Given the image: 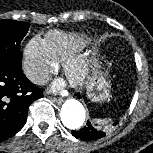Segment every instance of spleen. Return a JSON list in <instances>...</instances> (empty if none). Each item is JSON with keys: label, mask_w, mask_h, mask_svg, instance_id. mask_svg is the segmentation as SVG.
<instances>
[{"label": "spleen", "mask_w": 153, "mask_h": 153, "mask_svg": "<svg viewBox=\"0 0 153 153\" xmlns=\"http://www.w3.org/2000/svg\"><path fill=\"white\" fill-rule=\"evenodd\" d=\"M94 122L98 125H104L108 122V119H95Z\"/></svg>", "instance_id": "obj_1"}]
</instances>
